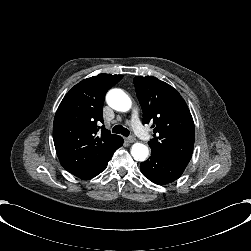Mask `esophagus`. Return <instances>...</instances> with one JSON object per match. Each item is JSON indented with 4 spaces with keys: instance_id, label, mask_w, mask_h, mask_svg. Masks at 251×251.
<instances>
[{
    "instance_id": "1",
    "label": "esophagus",
    "mask_w": 251,
    "mask_h": 251,
    "mask_svg": "<svg viewBox=\"0 0 251 251\" xmlns=\"http://www.w3.org/2000/svg\"><path fill=\"white\" fill-rule=\"evenodd\" d=\"M126 141H127L128 143H134V142H136L137 140H136L135 137H128V138H126Z\"/></svg>"
}]
</instances>
